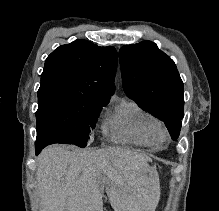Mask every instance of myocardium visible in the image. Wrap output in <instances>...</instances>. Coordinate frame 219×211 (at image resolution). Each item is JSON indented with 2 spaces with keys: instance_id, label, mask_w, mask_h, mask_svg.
<instances>
[{
  "instance_id": "obj_1",
  "label": "myocardium",
  "mask_w": 219,
  "mask_h": 211,
  "mask_svg": "<svg viewBox=\"0 0 219 211\" xmlns=\"http://www.w3.org/2000/svg\"><path fill=\"white\" fill-rule=\"evenodd\" d=\"M162 135H163V137H166L167 136V132L165 130H162Z\"/></svg>"
}]
</instances>
